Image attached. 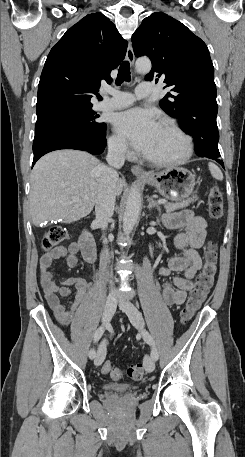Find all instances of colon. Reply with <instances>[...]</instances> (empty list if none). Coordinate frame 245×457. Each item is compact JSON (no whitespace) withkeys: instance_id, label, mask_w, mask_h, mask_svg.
<instances>
[{"instance_id":"obj_1","label":"colon","mask_w":245,"mask_h":457,"mask_svg":"<svg viewBox=\"0 0 245 457\" xmlns=\"http://www.w3.org/2000/svg\"><path fill=\"white\" fill-rule=\"evenodd\" d=\"M207 204L209 215L213 219H219L224 213L223 193L216 185H212L207 193ZM66 237V232L60 226H52L48 228L42 237V247L45 250H51L57 247ZM217 271V254L216 246L209 243L204 254V264L200 274L198 275L195 285L190 292L185 306L181 311V321L187 323L195 315L201 304L209 294L215 274ZM101 372L110 374L111 378L118 380L122 377V371L114 368L109 360L102 363ZM144 369L141 364L130 366L127 369V376L131 380H140L143 377Z\"/></svg>"}]
</instances>
